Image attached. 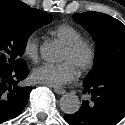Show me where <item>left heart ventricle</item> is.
<instances>
[{"label": "left heart ventricle", "instance_id": "obj_1", "mask_svg": "<svg viewBox=\"0 0 125 125\" xmlns=\"http://www.w3.org/2000/svg\"><path fill=\"white\" fill-rule=\"evenodd\" d=\"M86 57V54L84 51H81L77 54H71L69 53L66 48H64L62 59L63 60H69L76 68H79L81 63L84 61Z\"/></svg>", "mask_w": 125, "mask_h": 125}]
</instances>
